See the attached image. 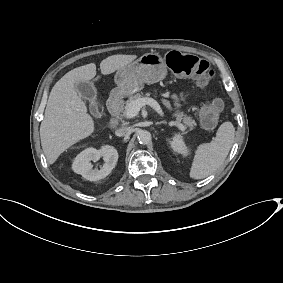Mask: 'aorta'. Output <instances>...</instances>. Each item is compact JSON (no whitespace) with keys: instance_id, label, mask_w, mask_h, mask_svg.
Returning <instances> with one entry per match:
<instances>
[{"instance_id":"obj_1","label":"aorta","mask_w":283,"mask_h":283,"mask_svg":"<svg viewBox=\"0 0 283 283\" xmlns=\"http://www.w3.org/2000/svg\"><path fill=\"white\" fill-rule=\"evenodd\" d=\"M137 138L140 144H148L151 141V134L146 130H142L139 132Z\"/></svg>"}]
</instances>
